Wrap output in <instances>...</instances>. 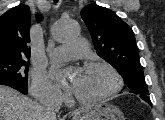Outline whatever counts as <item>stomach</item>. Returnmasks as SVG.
Masks as SVG:
<instances>
[{
	"instance_id": "stomach-1",
	"label": "stomach",
	"mask_w": 165,
	"mask_h": 120,
	"mask_svg": "<svg viewBox=\"0 0 165 120\" xmlns=\"http://www.w3.org/2000/svg\"><path fill=\"white\" fill-rule=\"evenodd\" d=\"M73 120H125L121 110L108 103L86 107Z\"/></svg>"
}]
</instances>
